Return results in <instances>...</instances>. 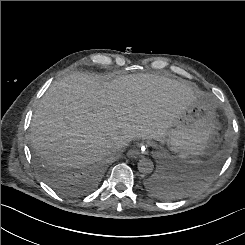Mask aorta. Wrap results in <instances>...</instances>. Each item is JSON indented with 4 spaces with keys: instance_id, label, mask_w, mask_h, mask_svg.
<instances>
[{
    "instance_id": "aorta-1",
    "label": "aorta",
    "mask_w": 245,
    "mask_h": 245,
    "mask_svg": "<svg viewBox=\"0 0 245 245\" xmlns=\"http://www.w3.org/2000/svg\"><path fill=\"white\" fill-rule=\"evenodd\" d=\"M154 169V164L151 159L149 158H142L138 162V170L140 173L144 175H148L152 173Z\"/></svg>"
}]
</instances>
